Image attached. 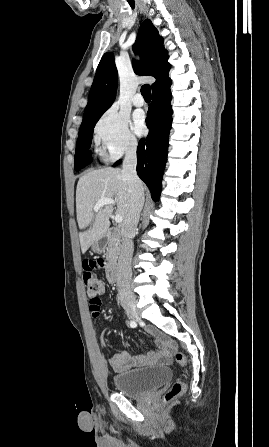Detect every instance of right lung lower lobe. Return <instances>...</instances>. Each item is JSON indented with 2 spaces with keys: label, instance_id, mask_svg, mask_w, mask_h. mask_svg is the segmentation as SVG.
Masks as SVG:
<instances>
[{
  "label": "right lung lower lobe",
  "instance_id": "right-lung-lower-lobe-1",
  "mask_svg": "<svg viewBox=\"0 0 269 447\" xmlns=\"http://www.w3.org/2000/svg\"><path fill=\"white\" fill-rule=\"evenodd\" d=\"M171 80L168 74L156 80L152 86L153 101L149 106L146 124L149 134L141 139L137 148V173L157 201L161 192V180L167 160L169 131L172 123ZM120 160L114 164L118 165Z\"/></svg>",
  "mask_w": 269,
  "mask_h": 447
}]
</instances>
